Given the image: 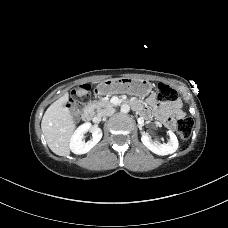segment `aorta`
Returning <instances> with one entry per match:
<instances>
[{"instance_id":"aorta-1","label":"aorta","mask_w":228,"mask_h":228,"mask_svg":"<svg viewBox=\"0 0 228 228\" xmlns=\"http://www.w3.org/2000/svg\"><path fill=\"white\" fill-rule=\"evenodd\" d=\"M129 111H130V106H129V105L123 104V105L121 106V112H122V113H128Z\"/></svg>"}]
</instances>
